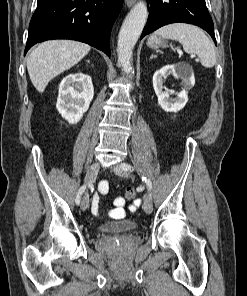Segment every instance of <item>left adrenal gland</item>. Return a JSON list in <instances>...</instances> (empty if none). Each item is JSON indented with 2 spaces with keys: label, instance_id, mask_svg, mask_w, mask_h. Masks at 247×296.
<instances>
[{
  "label": "left adrenal gland",
  "instance_id": "left-adrenal-gland-1",
  "mask_svg": "<svg viewBox=\"0 0 247 296\" xmlns=\"http://www.w3.org/2000/svg\"><path fill=\"white\" fill-rule=\"evenodd\" d=\"M156 57H157L156 55L152 54V55L150 56V59H153V58H156Z\"/></svg>",
  "mask_w": 247,
  "mask_h": 296
}]
</instances>
